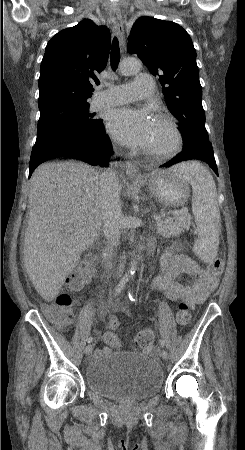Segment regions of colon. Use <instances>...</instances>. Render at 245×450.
Wrapping results in <instances>:
<instances>
[{
  "label": "colon",
  "mask_w": 245,
  "mask_h": 450,
  "mask_svg": "<svg viewBox=\"0 0 245 450\" xmlns=\"http://www.w3.org/2000/svg\"><path fill=\"white\" fill-rule=\"evenodd\" d=\"M95 261L94 258L87 255L84 259L77 265L71 275H69L64 281V289L67 292H73L78 288V282L80 279L89 278L92 276ZM210 271L213 273H220L223 268V260L221 258H215L210 262ZM71 304L70 296L63 292L60 293L55 302L51 303L47 307V317L58 327L67 328L73 324V318L69 310ZM177 322L180 325H186L191 319V314L189 306L187 303L181 301L178 303ZM108 326L114 327L117 325V320L114 318H109ZM154 339V333L151 329L146 328L139 331L136 335L135 342L138 346L146 347L149 346ZM104 341L111 346L118 347L120 345V339L113 332L108 331L104 334Z\"/></svg>",
  "instance_id": "5ec220e1"
}]
</instances>
